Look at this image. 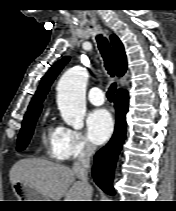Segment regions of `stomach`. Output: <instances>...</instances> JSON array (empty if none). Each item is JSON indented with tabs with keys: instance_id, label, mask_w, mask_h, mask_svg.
Here are the masks:
<instances>
[{
	"instance_id": "1",
	"label": "stomach",
	"mask_w": 176,
	"mask_h": 211,
	"mask_svg": "<svg viewBox=\"0 0 176 211\" xmlns=\"http://www.w3.org/2000/svg\"><path fill=\"white\" fill-rule=\"evenodd\" d=\"M12 190L19 201H49L37 189L22 182L13 184Z\"/></svg>"
}]
</instances>
